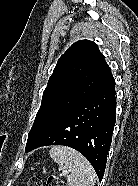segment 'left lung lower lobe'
I'll use <instances>...</instances> for the list:
<instances>
[{"label": "left lung lower lobe", "instance_id": "obj_1", "mask_svg": "<svg viewBox=\"0 0 138 186\" xmlns=\"http://www.w3.org/2000/svg\"><path fill=\"white\" fill-rule=\"evenodd\" d=\"M115 80L112 73L87 97L47 130L25 151L64 145L83 154L99 180L104 175L116 120Z\"/></svg>", "mask_w": 138, "mask_h": 186}]
</instances>
